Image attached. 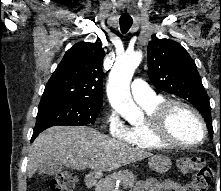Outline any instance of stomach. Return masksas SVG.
I'll return each instance as SVG.
<instances>
[{
    "mask_svg": "<svg viewBox=\"0 0 221 191\" xmlns=\"http://www.w3.org/2000/svg\"><path fill=\"white\" fill-rule=\"evenodd\" d=\"M148 165L158 173H165L171 168L172 163L170 158L164 155H154L149 158Z\"/></svg>",
    "mask_w": 221,
    "mask_h": 191,
    "instance_id": "1",
    "label": "stomach"
}]
</instances>
